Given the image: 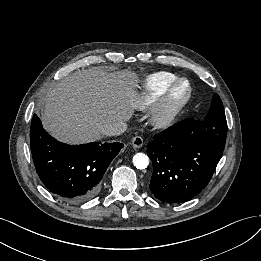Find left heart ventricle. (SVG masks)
Listing matches in <instances>:
<instances>
[{"label":"left heart ventricle","instance_id":"1","mask_svg":"<svg viewBox=\"0 0 261 261\" xmlns=\"http://www.w3.org/2000/svg\"><path fill=\"white\" fill-rule=\"evenodd\" d=\"M186 92V84L182 83L179 85V87L177 88L174 98L175 99H180Z\"/></svg>","mask_w":261,"mask_h":261}]
</instances>
